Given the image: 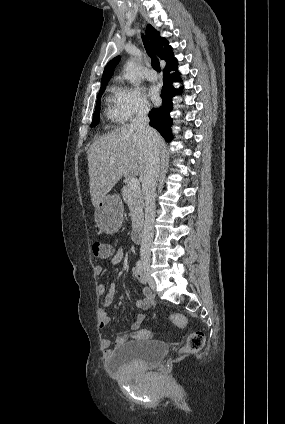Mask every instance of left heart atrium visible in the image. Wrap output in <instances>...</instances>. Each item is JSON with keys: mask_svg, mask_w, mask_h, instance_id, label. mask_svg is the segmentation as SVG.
Segmentation results:
<instances>
[{"mask_svg": "<svg viewBox=\"0 0 285 424\" xmlns=\"http://www.w3.org/2000/svg\"><path fill=\"white\" fill-rule=\"evenodd\" d=\"M149 96L153 102L155 103L159 102L160 97H159L158 89L156 87H151L149 89Z\"/></svg>", "mask_w": 285, "mask_h": 424, "instance_id": "obj_1", "label": "left heart atrium"}]
</instances>
